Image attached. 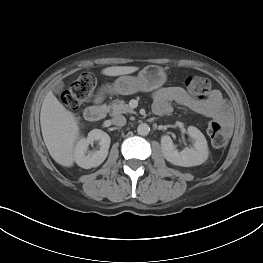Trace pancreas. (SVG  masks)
<instances>
[{
	"mask_svg": "<svg viewBox=\"0 0 263 263\" xmlns=\"http://www.w3.org/2000/svg\"><path fill=\"white\" fill-rule=\"evenodd\" d=\"M110 115H117L122 113H135L134 110L125 103L124 100L116 99L110 105L106 106Z\"/></svg>",
	"mask_w": 263,
	"mask_h": 263,
	"instance_id": "cf45deb5",
	"label": "pancreas"
}]
</instances>
